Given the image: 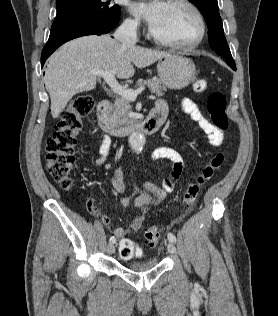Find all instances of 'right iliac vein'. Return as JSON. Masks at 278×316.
<instances>
[{"instance_id":"63e3f726","label":"right iliac vein","mask_w":278,"mask_h":316,"mask_svg":"<svg viewBox=\"0 0 278 316\" xmlns=\"http://www.w3.org/2000/svg\"><path fill=\"white\" fill-rule=\"evenodd\" d=\"M107 252L109 254H113L115 252V245L114 243H109L107 246Z\"/></svg>"}]
</instances>
